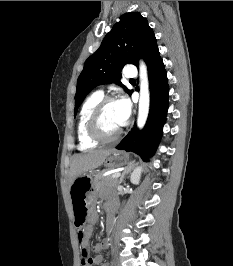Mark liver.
<instances>
[{
	"instance_id": "6515ba94",
	"label": "liver",
	"mask_w": 233,
	"mask_h": 266,
	"mask_svg": "<svg viewBox=\"0 0 233 266\" xmlns=\"http://www.w3.org/2000/svg\"><path fill=\"white\" fill-rule=\"evenodd\" d=\"M112 151V149H95L74 155L68 174L69 185L71 186L79 176L102 165Z\"/></svg>"
}]
</instances>
